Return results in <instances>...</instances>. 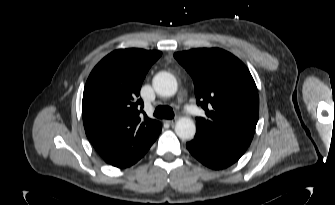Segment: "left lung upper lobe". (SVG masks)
<instances>
[{
    "mask_svg": "<svg viewBox=\"0 0 335 205\" xmlns=\"http://www.w3.org/2000/svg\"><path fill=\"white\" fill-rule=\"evenodd\" d=\"M194 80L197 104L206 117L196 129L230 143L249 146L259 116V96L248 68L219 48H199L174 54Z\"/></svg>",
    "mask_w": 335,
    "mask_h": 205,
    "instance_id": "1",
    "label": "left lung upper lobe"
}]
</instances>
